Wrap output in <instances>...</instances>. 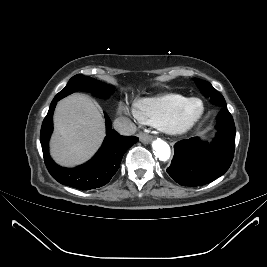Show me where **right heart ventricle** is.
I'll list each match as a JSON object with an SVG mask.
<instances>
[{
	"label": "right heart ventricle",
	"mask_w": 267,
	"mask_h": 267,
	"mask_svg": "<svg viewBox=\"0 0 267 267\" xmlns=\"http://www.w3.org/2000/svg\"><path fill=\"white\" fill-rule=\"evenodd\" d=\"M186 99L184 95L169 93L140 99L134 108L141 121L158 127Z\"/></svg>",
	"instance_id": "e07e8e85"
}]
</instances>
